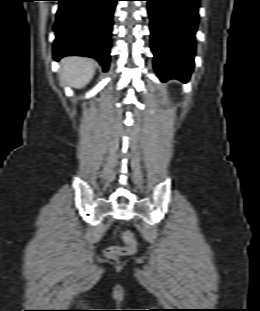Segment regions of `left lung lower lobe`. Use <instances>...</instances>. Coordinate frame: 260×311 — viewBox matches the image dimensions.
Returning a JSON list of instances; mask_svg holds the SVG:
<instances>
[{
	"label": "left lung lower lobe",
	"mask_w": 260,
	"mask_h": 311,
	"mask_svg": "<svg viewBox=\"0 0 260 311\" xmlns=\"http://www.w3.org/2000/svg\"><path fill=\"white\" fill-rule=\"evenodd\" d=\"M150 17L151 49L162 81L187 82L194 66L199 0H146Z\"/></svg>",
	"instance_id": "0a47b994"
}]
</instances>
